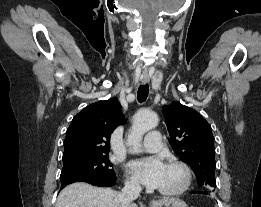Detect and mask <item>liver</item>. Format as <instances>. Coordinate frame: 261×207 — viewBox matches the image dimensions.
<instances>
[{"label": "liver", "instance_id": "6515ba94", "mask_svg": "<svg viewBox=\"0 0 261 207\" xmlns=\"http://www.w3.org/2000/svg\"><path fill=\"white\" fill-rule=\"evenodd\" d=\"M55 207H121V202L119 192L111 188L76 182L60 192ZM130 207H137V205L131 203Z\"/></svg>", "mask_w": 261, "mask_h": 207}]
</instances>
